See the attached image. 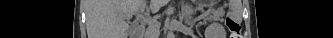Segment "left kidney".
Returning a JSON list of instances; mask_svg holds the SVG:
<instances>
[{
  "label": "left kidney",
  "instance_id": "1",
  "mask_svg": "<svg viewBox=\"0 0 333 38\" xmlns=\"http://www.w3.org/2000/svg\"><path fill=\"white\" fill-rule=\"evenodd\" d=\"M211 32H213V36H214L213 38H224V36H225L224 28L220 24L209 25L206 28L205 33L208 36V33H211Z\"/></svg>",
  "mask_w": 333,
  "mask_h": 38
}]
</instances>
